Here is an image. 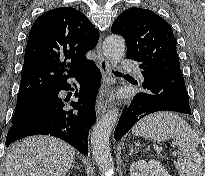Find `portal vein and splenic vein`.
I'll return each mask as SVG.
<instances>
[{
  "mask_svg": "<svg viewBox=\"0 0 205 176\" xmlns=\"http://www.w3.org/2000/svg\"><path fill=\"white\" fill-rule=\"evenodd\" d=\"M173 154H174V155H177V154H178V152H177V151H173Z\"/></svg>",
  "mask_w": 205,
  "mask_h": 176,
  "instance_id": "18ae733b",
  "label": "portal vein and splenic vein"
}]
</instances>
